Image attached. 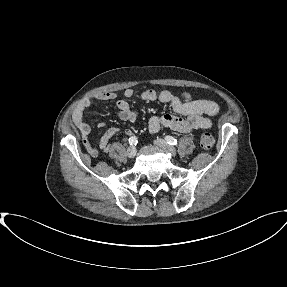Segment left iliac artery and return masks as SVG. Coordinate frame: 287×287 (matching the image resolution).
<instances>
[{"label": "left iliac artery", "mask_w": 287, "mask_h": 287, "mask_svg": "<svg viewBox=\"0 0 287 287\" xmlns=\"http://www.w3.org/2000/svg\"><path fill=\"white\" fill-rule=\"evenodd\" d=\"M165 140H166L167 143L170 144V145H177V143H178L177 139H175V138L172 137V136H166V137H165Z\"/></svg>", "instance_id": "obj_1"}]
</instances>
